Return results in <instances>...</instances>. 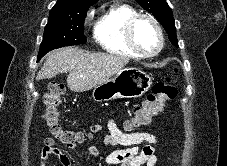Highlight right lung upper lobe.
Wrapping results in <instances>:
<instances>
[{
	"label": "right lung upper lobe",
	"mask_w": 227,
	"mask_h": 166,
	"mask_svg": "<svg viewBox=\"0 0 227 166\" xmlns=\"http://www.w3.org/2000/svg\"><path fill=\"white\" fill-rule=\"evenodd\" d=\"M97 1L98 0H58L50 10V13L82 11L89 9V7Z\"/></svg>",
	"instance_id": "obj_1"
}]
</instances>
